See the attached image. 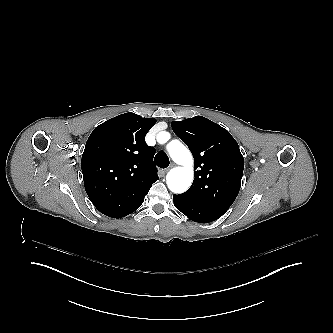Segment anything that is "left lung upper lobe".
<instances>
[{"label":"left lung upper lobe","instance_id":"obj_1","mask_svg":"<svg viewBox=\"0 0 333 333\" xmlns=\"http://www.w3.org/2000/svg\"><path fill=\"white\" fill-rule=\"evenodd\" d=\"M175 134L194 157V181L183 198L210 207L227 209L241 184L244 158L231 134L202 116L172 122Z\"/></svg>","mask_w":333,"mask_h":333}]
</instances>
